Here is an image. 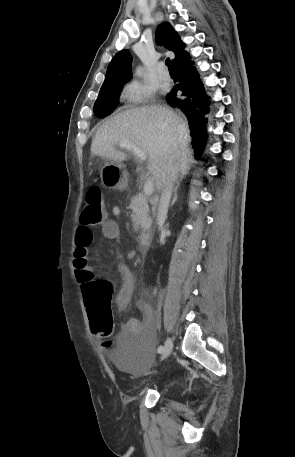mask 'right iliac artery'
I'll return each mask as SVG.
<instances>
[{
  "label": "right iliac artery",
  "instance_id": "1",
  "mask_svg": "<svg viewBox=\"0 0 295 457\" xmlns=\"http://www.w3.org/2000/svg\"><path fill=\"white\" fill-rule=\"evenodd\" d=\"M163 351V346H160L157 350L158 353H161Z\"/></svg>",
  "mask_w": 295,
  "mask_h": 457
}]
</instances>
